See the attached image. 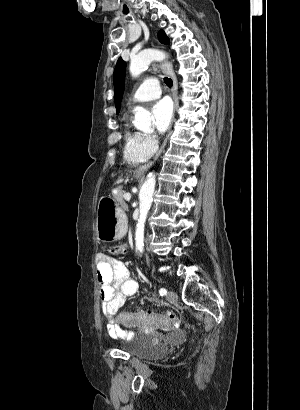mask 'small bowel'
I'll return each instance as SVG.
<instances>
[{
  "label": "small bowel",
  "mask_w": 300,
  "mask_h": 410,
  "mask_svg": "<svg viewBox=\"0 0 300 410\" xmlns=\"http://www.w3.org/2000/svg\"><path fill=\"white\" fill-rule=\"evenodd\" d=\"M96 278L100 287L102 311L108 320L107 330L113 338L130 339L134 333L115 322V315L127 297L137 292V281L127 267L105 254L96 257Z\"/></svg>",
  "instance_id": "1"
}]
</instances>
